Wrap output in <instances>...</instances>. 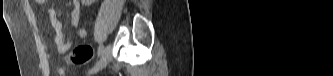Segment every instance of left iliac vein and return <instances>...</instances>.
I'll list each match as a JSON object with an SVG mask.
<instances>
[{"instance_id": "4c4485c4", "label": "left iliac vein", "mask_w": 333, "mask_h": 76, "mask_svg": "<svg viewBox=\"0 0 333 76\" xmlns=\"http://www.w3.org/2000/svg\"><path fill=\"white\" fill-rule=\"evenodd\" d=\"M112 58V45L108 44L100 57V60L96 63L93 69L89 71V74L97 73L99 70L103 69L111 60Z\"/></svg>"}]
</instances>
